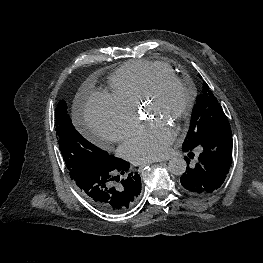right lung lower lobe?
I'll return each mask as SVG.
<instances>
[{"label": "right lung lower lobe", "mask_w": 263, "mask_h": 263, "mask_svg": "<svg viewBox=\"0 0 263 263\" xmlns=\"http://www.w3.org/2000/svg\"><path fill=\"white\" fill-rule=\"evenodd\" d=\"M129 167L128 162L110 155L106 163L83 168L72 180L90 204L113 213L114 209L132 207L140 194V176L129 172Z\"/></svg>", "instance_id": "obj_1"}]
</instances>
